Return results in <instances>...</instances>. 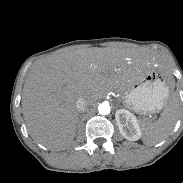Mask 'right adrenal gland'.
Wrapping results in <instances>:
<instances>
[{"instance_id": "1", "label": "right adrenal gland", "mask_w": 183, "mask_h": 183, "mask_svg": "<svg viewBox=\"0 0 183 183\" xmlns=\"http://www.w3.org/2000/svg\"><path fill=\"white\" fill-rule=\"evenodd\" d=\"M82 113H83V112H80V114H79V119L81 118V116H82Z\"/></svg>"}]
</instances>
